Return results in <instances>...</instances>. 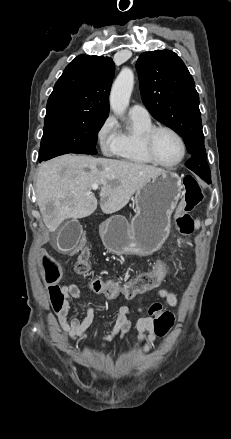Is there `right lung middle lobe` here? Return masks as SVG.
I'll list each match as a JSON object with an SVG mask.
<instances>
[{
  "instance_id": "dd1d6c3e",
  "label": "right lung middle lobe",
  "mask_w": 231,
  "mask_h": 439,
  "mask_svg": "<svg viewBox=\"0 0 231 439\" xmlns=\"http://www.w3.org/2000/svg\"><path fill=\"white\" fill-rule=\"evenodd\" d=\"M106 118L88 113L45 117L39 161L67 153L97 154V134Z\"/></svg>"
}]
</instances>
